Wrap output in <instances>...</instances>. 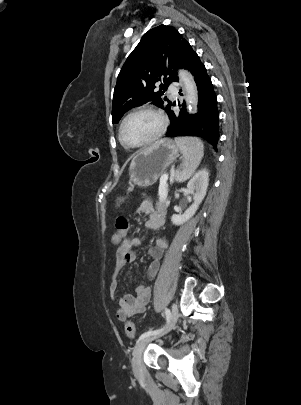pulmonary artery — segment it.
<instances>
[{
	"instance_id": "1",
	"label": "pulmonary artery",
	"mask_w": 301,
	"mask_h": 405,
	"mask_svg": "<svg viewBox=\"0 0 301 405\" xmlns=\"http://www.w3.org/2000/svg\"><path fill=\"white\" fill-rule=\"evenodd\" d=\"M169 91H170L172 94L177 95V89H176V87L174 86V84H171V85L169 86Z\"/></svg>"
}]
</instances>
